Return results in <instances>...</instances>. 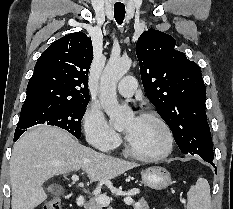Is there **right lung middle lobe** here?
<instances>
[{
    "label": "right lung middle lobe",
    "instance_id": "1",
    "mask_svg": "<svg viewBox=\"0 0 233 209\" xmlns=\"http://www.w3.org/2000/svg\"><path fill=\"white\" fill-rule=\"evenodd\" d=\"M89 100L78 102H38L24 104L15 130L22 134L34 125L44 124L61 127L80 138L81 120Z\"/></svg>",
    "mask_w": 233,
    "mask_h": 209
}]
</instances>
